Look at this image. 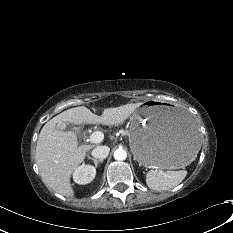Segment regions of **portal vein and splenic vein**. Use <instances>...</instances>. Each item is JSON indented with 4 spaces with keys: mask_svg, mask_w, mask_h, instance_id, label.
<instances>
[{
    "mask_svg": "<svg viewBox=\"0 0 233 233\" xmlns=\"http://www.w3.org/2000/svg\"><path fill=\"white\" fill-rule=\"evenodd\" d=\"M103 139H104V134L101 131H96L90 135L89 141L91 143H100L103 141Z\"/></svg>",
    "mask_w": 233,
    "mask_h": 233,
    "instance_id": "obj_1",
    "label": "portal vein and splenic vein"
}]
</instances>
